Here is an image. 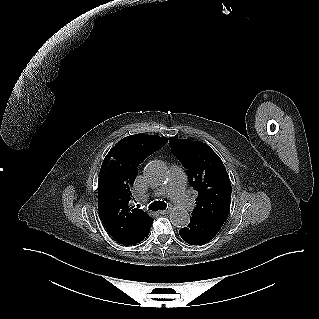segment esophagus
<instances>
[{"label":"esophagus","instance_id":"esophagus-1","mask_svg":"<svg viewBox=\"0 0 319 319\" xmlns=\"http://www.w3.org/2000/svg\"><path fill=\"white\" fill-rule=\"evenodd\" d=\"M159 213H160L161 215H165V214H168V213H169V210H161V211H159Z\"/></svg>","mask_w":319,"mask_h":319}]
</instances>
